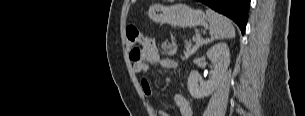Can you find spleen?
<instances>
[{
    "instance_id": "1",
    "label": "spleen",
    "mask_w": 305,
    "mask_h": 116,
    "mask_svg": "<svg viewBox=\"0 0 305 116\" xmlns=\"http://www.w3.org/2000/svg\"><path fill=\"white\" fill-rule=\"evenodd\" d=\"M206 15L210 25V40L208 42L220 39H232L235 37V28L230 19L211 9L206 10Z\"/></svg>"
}]
</instances>
